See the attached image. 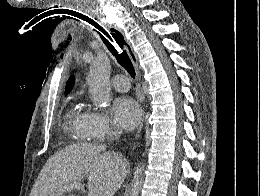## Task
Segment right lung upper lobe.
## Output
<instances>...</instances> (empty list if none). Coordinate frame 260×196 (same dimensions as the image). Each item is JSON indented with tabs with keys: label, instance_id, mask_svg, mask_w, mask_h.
Returning a JSON list of instances; mask_svg holds the SVG:
<instances>
[{
	"label": "right lung upper lobe",
	"instance_id": "cb5924a9",
	"mask_svg": "<svg viewBox=\"0 0 260 196\" xmlns=\"http://www.w3.org/2000/svg\"><path fill=\"white\" fill-rule=\"evenodd\" d=\"M74 83V78L70 77V79L67 82V86H66V90H65V94H68L70 92V89L72 88Z\"/></svg>",
	"mask_w": 260,
	"mask_h": 196
}]
</instances>
